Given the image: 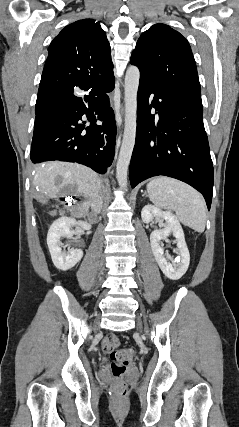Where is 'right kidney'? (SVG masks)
I'll return each mask as SVG.
<instances>
[{
  "label": "right kidney",
  "instance_id": "obj_1",
  "mask_svg": "<svg viewBox=\"0 0 239 427\" xmlns=\"http://www.w3.org/2000/svg\"><path fill=\"white\" fill-rule=\"evenodd\" d=\"M79 226L84 230H90L91 225L85 221H76L74 218L63 216L50 226L47 234V245L52 261L59 270H69L74 267L83 257L81 249H71L68 252L62 251L61 238L71 237L74 232L72 227Z\"/></svg>",
  "mask_w": 239,
  "mask_h": 427
}]
</instances>
